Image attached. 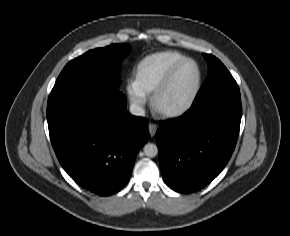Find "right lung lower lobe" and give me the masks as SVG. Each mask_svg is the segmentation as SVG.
Masks as SVG:
<instances>
[{"label": "right lung lower lobe", "mask_w": 290, "mask_h": 236, "mask_svg": "<svg viewBox=\"0 0 290 236\" xmlns=\"http://www.w3.org/2000/svg\"><path fill=\"white\" fill-rule=\"evenodd\" d=\"M47 121L62 167L81 187L101 196L125 186L150 137L147 119L127 112L119 90L50 94Z\"/></svg>", "instance_id": "right-lung-lower-lobe-1"}]
</instances>
